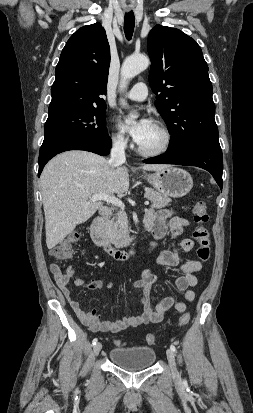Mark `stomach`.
I'll list each match as a JSON object with an SVG mask.
<instances>
[{"mask_svg": "<svg viewBox=\"0 0 253 413\" xmlns=\"http://www.w3.org/2000/svg\"><path fill=\"white\" fill-rule=\"evenodd\" d=\"M144 179L160 193L173 198L185 196L193 187L191 175L187 171L171 165L155 173L145 174Z\"/></svg>", "mask_w": 253, "mask_h": 413, "instance_id": "stomach-1", "label": "stomach"}]
</instances>
